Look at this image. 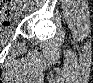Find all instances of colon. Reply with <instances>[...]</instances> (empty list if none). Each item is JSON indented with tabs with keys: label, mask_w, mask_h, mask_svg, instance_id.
Instances as JSON below:
<instances>
[{
	"label": "colon",
	"mask_w": 93,
	"mask_h": 83,
	"mask_svg": "<svg viewBox=\"0 0 93 83\" xmlns=\"http://www.w3.org/2000/svg\"><path fill=\"white\" fill-rule=\"evenodd\" d=\"M17 1H4L2 2V7L0 11L1 24H8L14 19V14L17 9L14 7H9L8 4H14Z\"/></svg>",
	"instance_id": "obj_1"
}]
</instances>
